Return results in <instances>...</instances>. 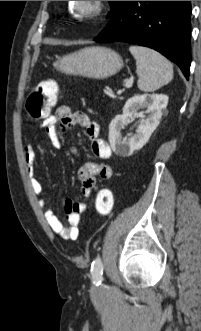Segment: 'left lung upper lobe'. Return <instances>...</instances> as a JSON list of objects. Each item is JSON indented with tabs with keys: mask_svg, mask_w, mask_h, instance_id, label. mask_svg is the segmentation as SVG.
<instances>
[{
	"mask_svg": "<svg viewBox=\"0 0 201 331\" xmlns=\"http://www.w3.org/2000/svg\"><path fill=\"white\" fill-rule=\"evenodd\" d=\"M109 2L111 4L112 12L108 15V17H111L116 13L121 1H109Z\"/></svg>",
	"mask_w": 201,
	"mask_h": 331,
	"instance_id": "1",
	"label": "left lung upper lobe"
}]
</instances>
